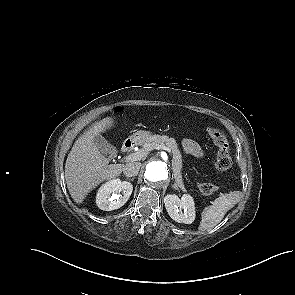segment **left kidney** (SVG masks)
<instances>
[{
  "mask_svg": "<svg viewBox=\"0 0 295 295\" xmlns=\"http://www.w3.org/2000/svg\"><path fill=\"white\" fill-rule=\"evenodd\" d=\"M164 204L169 216L176 222L191 224L195 220L194 200L189 194L181 198L175 194L167 195Z\"/></svg>",
  "mask_w": 295,
  "mask_h": 295,
  "instance_id": "obj_1",
  "label": "left kidney"
}]
</instances>
